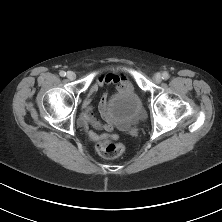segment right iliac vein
<instances>
[{
    "label": "right iliac vein",
    "mask_w": 222,
    "mask_h": 222,
    "mask_svg": "<svg viewBox=\"0 0 222 222\" xmlns=\"http://www.w3.org/2000/svg\"><path fill=\"white\" fill-rule=\"evenodd\" d=\"M67 78L69 80H74L76 78V74L73 71H68L67 72Z\"/></svg>",
    "instance_id": "obj_1"
}]
</instances>
